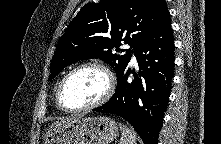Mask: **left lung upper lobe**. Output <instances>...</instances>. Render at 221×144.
<instances>
[{"label":"left lung upper lobe","mask_w":221,"mask_h":144,"mask_svg":"<svg viewBox=\"0 0 221 144\" xmlns=\"http://www.w3.org/2000/svg\"><path fill=\"white\" fill-rule=\"evenodd\" d=\"M164 0H100L87 3L60 38L51 61L52 80L64 67L82 59L99 58L117 77L128 65L131 50H121V41L133 49L147 40L167 13ZM121 55L115 52H124Z\"/></svg>","instance_id":"5c2ea615"}]
</instances>
